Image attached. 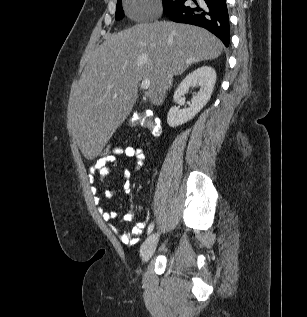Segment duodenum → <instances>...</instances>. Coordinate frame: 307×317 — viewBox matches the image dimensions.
<instances>
[{"instance_id":"1","label":"duodenum","mask_w":307,"mask_h":317,"mask_svg":"<svg viewBox=\"0 0 307 317\" xmlns=\"http://www.w3.org/2000/svg\"><path fill=\"white\" fill-rule=\"evenodd\" d=\"M146 121H154V120L151 117H147ZM148 129H150V128H148Z\"/></svg>"}]
</instances>
